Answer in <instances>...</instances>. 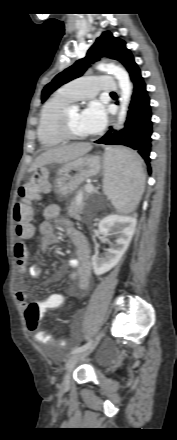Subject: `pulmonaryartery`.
<instances>
[{
	"instance_id": "1",
	"label": "pulmonary artery",
	"mask_w": 177,
	"mask_h": 440,
	"mask_svg": "<svg viewBox=\"0 0 177 440\" xmlns=\"http://www.w3.org/2000/svg\"><path fill=\"white\" fill-rule=\"evenodd\" d=\"M62 88L66 90L74 100L93 98L98 92H114L117 90L114 77L110 75H91L75 79Z\"/></svg>"
}]
</instances>
